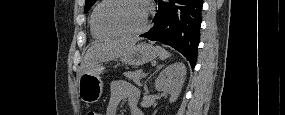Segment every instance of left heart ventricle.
Listing matches in <instances>:
<instances>
[{
  "instance_id": "1",
  "label": "left heart ventricle",
  "mask_w": 285,
  "mask_h": 115,
  "mask_svg": "<svg viewBox=\"0 0 285 115\" xmlns=\"http://www.w3.org/2000/svg\"><path fill=\"white\" fill-rule=\"evenodd\" d=\"M144 17V6L131 0L110 2L100 12L103 24L125 32L140 29L144 24Z\"/></svg>"
}]
</instances>
